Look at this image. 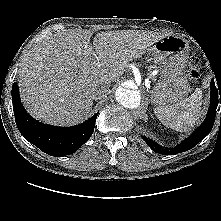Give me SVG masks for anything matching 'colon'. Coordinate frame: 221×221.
Masks as SVG:
<instances>
[{
  "label": "colon",
  "mask_w": 221,
  "mask_h": 221,
  "mask_svg": "<svg viewBox=\"0 0 221 221\" xmlns=\"http://www.w3.org/2000/svg\"><path fill=\"white\" fill-rule=\"evenodd\" d=\"M198 64L199 60L195 57L190 58L189 63H188V76L190 79H197L199 77V72H198Z\"/></svg>",
  "instance_id": "5ec220e1"
}]
</instances>
